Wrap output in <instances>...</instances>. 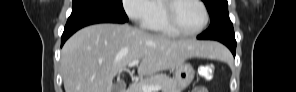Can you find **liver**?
I'll use <instances>...</instances> for the list:
<instances>
[{"instance_id":"liver-1","label":"liver","mask_w":296,"mask_h":92,"mask_svg":"<svg viewBox=\"0 0 296 92\" xmlns=\"http://www.w3.org/2000/svg\"><path fill=\"white\" fill-rule=\"evenodd\" d=\"M221 45L172 40L128 24H96L76 32L61 52L65 92H113V78L140 60L139 76L177 68L192 57L215 58Z\"/></svg>"}]
</instances>
